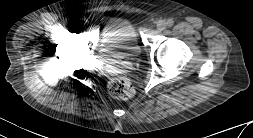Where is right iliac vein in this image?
<instances>
[{"mask_svg":"<svg viewBox=\"0 0 253 138\" xmlns=\"http://www.w3.org/2000/svg\"><path fill=\"white\" fill-rule=\"evenodd\" d=\"M71 28H72L73 30H76V29L78 28V25H77L76 23H73V24L71 25Z\"/></svg>","mask_w":253,"mask_h":138,"instance_id":"right-iliac-vein-1","label":"right iliac vein"}]
</instances>
